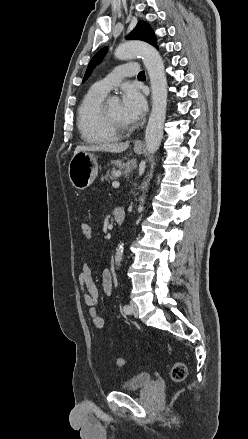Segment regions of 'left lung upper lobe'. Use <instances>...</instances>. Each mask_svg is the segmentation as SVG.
<instances>
[{"label":"left lung upper lobe","instance_id":"5c2ea615","mask_svg":"<svg viewBox=\"0 0 248 439\" xmlns=\"http://www.w3.org/2000/svg\"><path fill=\"white\" fill-rule=\"evenodd\" d=\"M128 39L145 41L157 48L155 34L147 22L139 21L134 30L127 36ZM104 49L100 50L90 61L83 82L90 76L92 69L100 62Z\"/></svg>","mask_w":248,"mask_h":439}]
</instances>
